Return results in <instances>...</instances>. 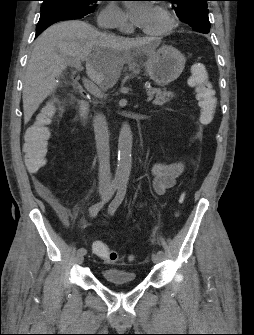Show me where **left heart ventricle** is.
Wrapping results in <instances>:
<instances>
[{
  "label": "left heart ventricle",
  "instance_id": "1",
  "mask_svg": "<svg viewBox=\"0 0 254 335\" xmlns=\"http://www.w3.org/2000/svg\"><path fill=\"white\" fill-rule=\"evenodd\" d=\"M166 25L165 18L156 10L154 9L153 15L146 26L145 30L155 32L163 29Z\"/></svg>",
  "mask_w": 254,
  "mask_h": 335
}]
</instances>
